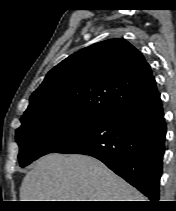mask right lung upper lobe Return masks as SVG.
<instances>
[{"label":"right lung upper lobe","instance_id":"1","mask_svg":"<svg viewBox=\"0 0 176 211\" xmlns=\"http://www.w3.org/2000/svg\"><path fill=\"white\" fill-rule=\"evenodd\" d=\"M157 93L141 52L124 39H110L74 53L50 70L22 117L48 108L108 115Z\"/></svg>","mask_w":176,"mask_h":211}]
</instances>
